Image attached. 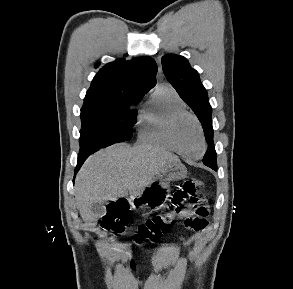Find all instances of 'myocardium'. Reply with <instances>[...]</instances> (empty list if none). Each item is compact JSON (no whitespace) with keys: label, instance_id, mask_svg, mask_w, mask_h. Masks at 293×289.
<instances>
[{"label":"myocardium","instance_id":"obj_1","mask_svg":"<svg viewBox=\"0 0 293 289\" xmlns=\"http://www.w3.org/2000/svg\"><path fill=\"white\" fill-rule=\"evenodd\" d=\"M184 118H191L196 123V125L198 127V130H199V133L201 136V140H202V149H201V153L198 156H189V155L185 154L180 149V147L178 145L177 138H176L177 126H178V123L181 120H183ZM168 139H169V142L172 145L174 151L185 159L198 160L205 154L207 144H206V137H205V133H204V129L202 127V124H201L200 120L197 118V116H195L193 113H191L187 110H180L172 115V117L169 121V124H168Z\"/></svg>","mask_w":293,"mask_h":289}]
</instances>
